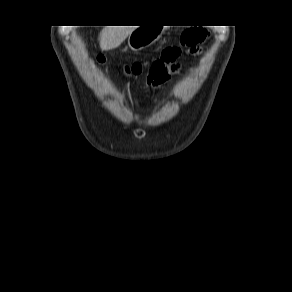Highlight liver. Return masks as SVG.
<instances>
[{"label": "liver", "mask_w": 292, "mask_h": 292, "mask_svg": "<svg viewBox=\"0 0 292 292\" xmlns=\"http://www.w3.org/2000/svg\"><path fill=\"white\" fill-rule=\"evenodd\" d=\"M135 26H116L105 28L100 37L102 50H110L118 47L134 30Z\"/></svg>", "instance_id": "obj_1"}]
</instances>
